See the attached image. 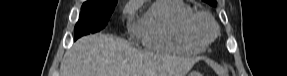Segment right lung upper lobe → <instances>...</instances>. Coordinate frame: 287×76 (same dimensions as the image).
Here are the masks:
<instances>
[{"mask_svg":"<svg viewBox=\"0 0 287 76\" xmlns=\"http://www.w3.org/2000/svg\"><path fill=\"white\" fill-rule=\"evenodd\" d=\"M88 1H99V0H88Z\"/></svg>","mask_w":287,"mask_h":76,"instance_id":"1","label":"right lung upper lobe"}]
</instances>
